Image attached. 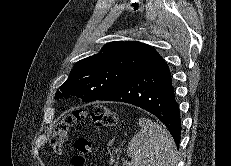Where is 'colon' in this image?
Here are the masks:
<instances>
[{
    "mask_svg": "<svg viewBox=\"0 0 231 166\" xmlns=\"http://www.w3.org/2000/svg\"><path fill=\"white\" fill-rule=\"evenodd\" d=\"M87 113L78 109L63 117L56 125L51 144L56 153L61 154L66 145L69 133L73 125L84 119ZM91 117L96 128L108 127L116 122L113 110L105 105H95L91 108ZM94 152V144L91 138L82 137L76 142V153L72 157V166H88Z\"/></svg>",
    "mask_w": 231,
    "mask_h": 166,
    "instance_id": "obj_1",
    "label": "colon"
}]
</instances>
